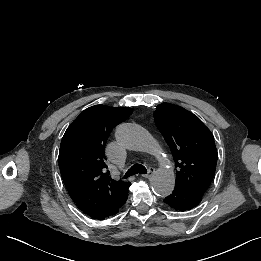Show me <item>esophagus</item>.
Masks as SVG:
<instances>
[{
    "label": "esophagus",
    "mask_w": 261,
    "mask_h": 261,
    "mask_svg": "<svg viewBox=\"0 0 261 261\" xmlns=\"http://www.w3.org/2000/svg\"><path fill=\"white\" fill-rule=\"evenodd\" d=\"M155 169L153 167L148 168V174H142L141 176L144 178H150L151 175L154 173Z\"/></svg>",
    "instance_id": "34e87169"
}]
</instances>
